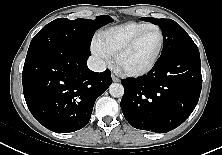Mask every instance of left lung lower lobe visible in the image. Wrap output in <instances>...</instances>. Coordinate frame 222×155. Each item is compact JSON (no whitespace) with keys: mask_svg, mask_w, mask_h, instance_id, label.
Here are the masks:
<instances>
[{"mask_svg":"<svg viewBox=\"0 0 222 155\" xmlns=\"http://www.w3.org/2000/svg\"><path fill=\"white\" fill-rule=\"evenodd\" d=\"M121 83V109L131 126L157 133L171 131L198 103L202 87L199 51L159 57L147 75Z\"/></svg>","mask_w":222,"mask_h":155,"instance_id":"left-lung-lower-lobe-1","label":"left lung lower lobe"}]
</instances>
